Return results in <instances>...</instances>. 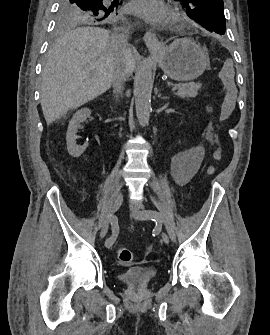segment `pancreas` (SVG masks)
Returning <instances> with one entry per match:
<instances>
[{
  "instance_id": "pancreas-1",
  "label": "pancreas",
  "mask_w": 270,
  "mask_h": 335,
  "mask_svg": "<svg viewBox=\"0 0 270 335\" xmlns=\"http://www.w3.org/2000/svg\"><path fill=\"white\" fill-rule=\"evenodd\" d=\"M179 90L176 96L179 98H195L198 96V90L201 88V84H195V82H189V84H177Z\"/></svg>"
}]
</instances>
